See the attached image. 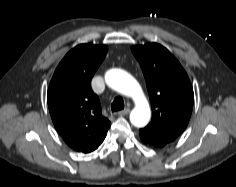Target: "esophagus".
<instances>
[{
    "label": "esophagus",
    "instance_id": "1",
    "mask_svg": "<svg viewBox=\"0 0 236 187\" xmlns=\"http://www.w3.org/2000/svg\"><path fill=\"white\" fill-rule=\"evenodd\" d=\"M130 112V109L129 108H126L124 110H121L118 112V115L119 116H124V115H127L128 113Z\"/></svg>",
    "mask_w": 236,
    "mask_h": 187
}]
</instances>
